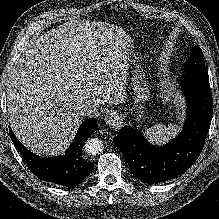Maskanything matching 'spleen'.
I'll return each mask as SVG.
<instances>
[{
	"mask_svg": "<svg viewBox=\"0 0 219 219\" xmlns=\"http://www.w3.org/2000/svg\"><path fill=\"white\" fill-rule=\"evenodd\" d=\"M177 118L182 119L183 114L181 112H177ZM179 130L180 127L177 124L170 123L168 125H164L160 123L148 128L145 131V136L150 143L161 145L166 143L169 138L175 137Z\"/></svg>",
	"mask_w": 219,
	"mask_h": 219,
	"instance_id": "spleen-1",
	"label": "spleen"
}]
</instances>
